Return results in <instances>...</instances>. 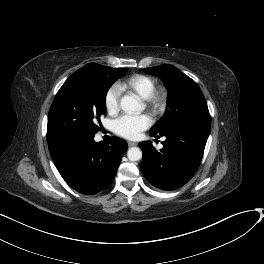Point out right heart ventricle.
<instances>
[{
	"label": "right heart ventricle",
	"mask_w": 264,
	"mask_h": 264,
	"mask_svg": "<svg viewBox=\"0 0 264 264\" xmlns=\"http://www.w3.org/2000/svg\"><path fill=\"white\" fill-rule=\"evenodd\" d=\"M119 88L134 92L142 99L148 98L156 88L155 80L147 75L135 74L119 83Z\"/></svg>",
	"instance_id": "obj_1"
}]
</instances>
